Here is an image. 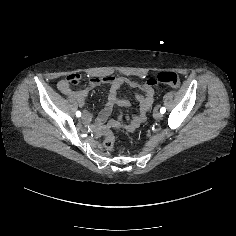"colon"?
I'll use <instances>...</instances> for the list:
<instances>
[{
	"mask_svg": "<svg viewBox=\"0 0 236 236\" xmlns=\"http://www.w3.org/2000/svg\"><path fill=\"white\" fill-rule=\"evenodd\" d=\"M157 81L159 83L177 88L180 86V79L178 75L172 71H163L157 75ZM67 84L71 86H78L82 82V78L79 74H72L66 78ZM103 146L110 150L114 146V136L110 131L104 132Z\"/></svg>",
	"mask_w": 236,
	"mask_h": 236,
	"instance_id": "5ec220e1",
	"label": "colon"
}]
</instances>
